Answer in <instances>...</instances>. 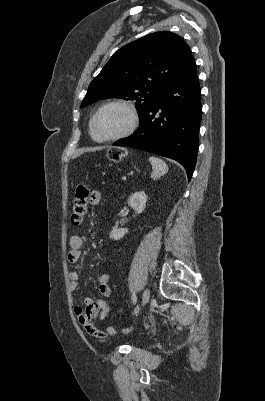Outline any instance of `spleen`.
Returning <instances> with one entry per match:
<instances>
[{"mask_svg": "<svg viewBox=\"0 0 265 401\" xmlns=\"http://www.w3.org/2000/svg\"><path fill=\"white\" fill-rule=\"evenodd\" d=\"M151 164H152V172H151V178H159V176H163V174H166L168 170V166L162 158H156V156H150L149 158Z\"/></svg>", "mask_w": 265, "mask_h": 401, "instance_id": "3e777b00", "label": "spleen"}]
</instances>
